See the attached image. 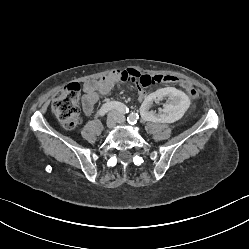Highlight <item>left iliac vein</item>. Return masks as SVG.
I'll return each mask as SVG.
<instances>
[{
  "label": "left iliac vein",
  "mask_w": 249,
  "mask_h": 249,
  "mask_svg": "<svg viewBox=\"0 0 249 249\" xmlns=\"http://www.w3.org/2000/svg\"><path fill=\"white\" fill-rule=\"evenodd\" d=\"M125 121V117L123 115H120V118H119V123H123Z\"/></svg>",
  "instance_id": "left-iliac-vein-1"
}]
</instances>
